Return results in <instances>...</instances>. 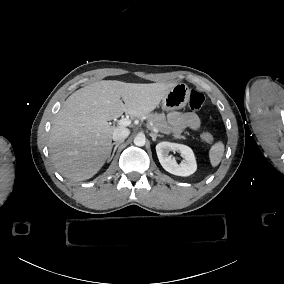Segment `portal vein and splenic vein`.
I'll list each match as a JSON object with an SVG mask.
<instances>
[{
  "label": "portal vein and splenic vein",
  "instance_id": "18ae733b",
  "mask_svg": "<svg viewBox=\"0 0 284 284\" xmlns=\"http://www.w3.org/2000/svg\"><path fill=\"white\" fill-rule=\"evenodd\" d=\"M120 126H129L131 124V120L128 119V118H123L121 120H119V123H118ZM154 132H158L157 129H153Z\"/></svg>",
  "mask_w": 284,
  "mask_h": 284
}]
</instances>
